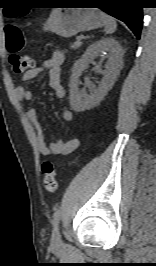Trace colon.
<instances>
[{"label":"colon","mask_w":156,"mask_h":266,"mask_svg":"<svg viewBox=\"0 0 156 266\" xmlns=\"http://www.w3.org/2000/svg\"><path fill=\"white\" fill-rule=\"evenodd\" d=\"M6 49L9 52V61L15 72L21 73L29 70L34 66V61L27 55H21L20 52L25 46V35L23 31L15 25H7L5 28ZM44 175V188L54 193L57 190V171L54 164L45 161L42 164Z\"/></svg>","instance_id":"5ec220e1"}]
</instances>
